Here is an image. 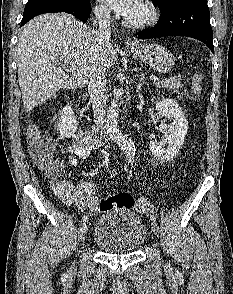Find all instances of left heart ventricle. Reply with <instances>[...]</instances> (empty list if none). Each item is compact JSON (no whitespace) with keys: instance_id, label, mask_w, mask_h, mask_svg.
<instances>
[{"instance_id":"left-heart-ventricle-1","label":"left heart ventricle","mask_w":233,"mask_h":294,"mask_svg":"<svg viewBox=\"0 0 233 294\" xmlns=\"http://www.w3.org/2000/svg\"><path fill=\"white\" fill-rule=\"evenodd\" d=\"M145 16L144 5L141 7L140 11L131 19V21H137L142 19Z\"/></svg>"}]
</instances>
